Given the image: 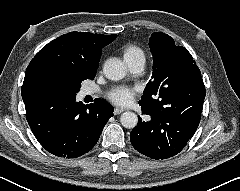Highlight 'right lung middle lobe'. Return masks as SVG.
<instances>
[{
  "mask_svg": "<svg viewBox=\"0 0 240 191\" xmlns=\"http://www.w3.org/2000/svg\"><path fill=\"white\" fill-rule=\"evenodd\" d=\"M95 75L58 71L48 72L40 78L36 87V94L54 95L72 99L79 92L82 81L93 79Z\"/></svg>",
  "mask_w": 240,
  "mask_h": 191,
  "instance_id": "right-lung-middle-lobe-1",
  "label": "right lung middle lobe"
}]
</instances>
